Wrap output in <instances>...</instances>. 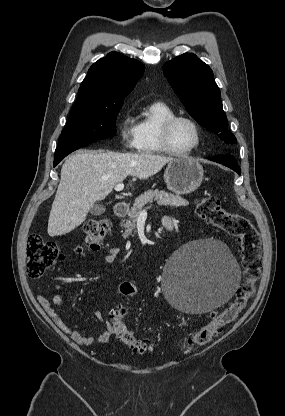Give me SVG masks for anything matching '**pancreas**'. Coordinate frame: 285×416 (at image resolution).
<instances>
[{
    "mask_svg": "<svg viewBox=\"0 0 285 416\" xmlns=\"http://www.w3.org/2000/svg\"><path fill=\"white\" fill-rule=\"evenodd\" d=\"M153 200H156L158 206H173V208H178V206H188V200H184L181 196H174V194H167L164 190H148L144 192L141 196L136 198L133 208H131L129 220H123L121 222L122 228H125L123 238H128V236H133L136 230V218L140 216L142 208L146 204H151Z\"/></svg>",
    "mask_w": 285,
    "mask_h": 416,
    "instance_id": "1",
    "label": "pancreas"
}]
</instances>
